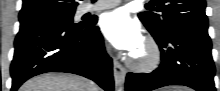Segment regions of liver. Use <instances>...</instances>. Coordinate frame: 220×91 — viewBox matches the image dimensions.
Here are the masks:
<instances>
[{"instance_id":"liver-1","label":"liver","mask_w":220,"mask_h":91,"mask_svg":"<svg viewBox=\"0 0 220 91\" xmlns=\"http://www.w3.org/2000/svg\"><path fill=\"white\" fill-rule=\"evenodd\" d=\"M19 91H101L91 80L74 74L47 73L31 78Z\"/></svg>"}]
</instances>
